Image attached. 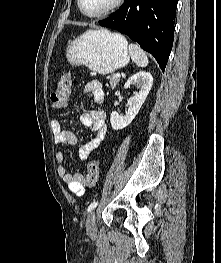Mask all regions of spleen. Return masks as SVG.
<instances>
[{
    "instance_id": "obj_1",
    "label": "spleen",
    "mask_w": 221,
    "mask_h": 263,
    "mask_svg": "<svg viewBox=\"0 0 221 263\" xmlns=\"http://www.w3.org/2000/svg\"><path fill=\"white\" fill-rule=\"evenodd\" d=\"M129 53L132 61L139 67H146L149 63L146 53L136 44L129 45Z\"/></svg>"
}]
</instances>
